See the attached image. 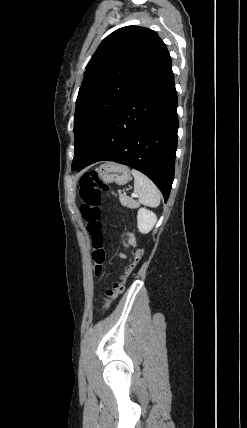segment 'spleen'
Instances as JSON below:
<instances>
[{
    "instance_id": "1",
    "label": "spleen",
    "mask_w": 247,
    "mask_h": 428,
    "mask_svg": "<svg viewBox=\"0 0 247 428\" xmlns=\"http://www.w3.org/2000/svg\"><path fill=\"white\" fill-rule=\"evenodd\" d=\"M134 176V190L141 204L157 207L160 204L161 194L156 185L143 173L132 170Z\"/></svg>"
}]
</instances>
